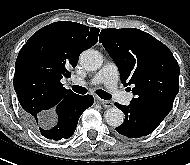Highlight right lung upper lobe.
<instances>
[{"label":"right lung upper lobe","instance_id":"1","mask_svg":"<svg viewBox=\"0 0 190 165\" xmlns=\"http://www.w3.org/2000/svg\"><path fill=\"white\" fill-rule=\"evenodd\" d=\"M95 27L59 21L38 30L21 48L14 75V89L26 115L38 118L66 98L77 94L60 80L69 78L79 55L98 41Z\"/></svg>","mask_w":190,"mask_h":165}]
</instances>
